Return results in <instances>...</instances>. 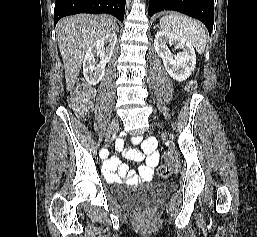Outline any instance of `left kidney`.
Segmentation results:
<instances>
[{"label": "left kidney", "mask_w": 257, "mask_h": 237, "mask_svg": "<svg viewBox=\"0 0 257 237\" xmlns=\"http://www.w3.org/2000/svg\"><path fill=\"white\" fill-rule=\"evenodd\" d=\"M174 45L179 51L176 55L171 53L169 47ZM154 47L162 58L164 67L169 75L176 81L186 80L195 68L196 55L192 44L177 35L159 31L155 35Z\"/></svg>", "instance_id": "obj_1"}]
</instances>
